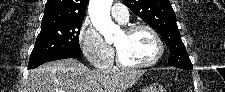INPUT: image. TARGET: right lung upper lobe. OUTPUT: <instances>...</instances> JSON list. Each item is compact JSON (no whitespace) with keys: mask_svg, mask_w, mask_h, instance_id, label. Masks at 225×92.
<instances>
[{"mask_svg":"<svg viewBox=\"0 0 225 92\" xmlns=\"http://www.w3.org/2000/svg\"><path fill=\"white\" fill-rule=\"evenodd\" d=\"M88 0H48L42 24L83 22Z\"/></svg>","mask_w":225,"mask_h":92,"instance_id":"cb5924a9","label":"right lung upper lobe"}]
</instances>
